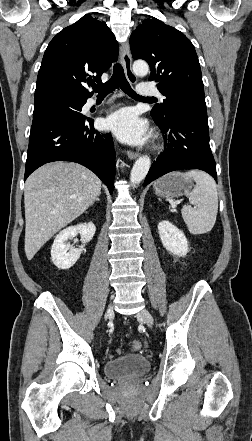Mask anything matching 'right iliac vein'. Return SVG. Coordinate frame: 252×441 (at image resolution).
<instances>
[{"label":"right iliac vein","mask_w":252,"mask_h":441,"mask_svg":"<svg viewBox=\"0 0 252 441\" xmlns=\"http://www.w3.org/2000/svg\"><path fill=\"white\" fill-rule=\"evenodd\" d=\"M113 314H114L113 307H112V305H110L107 309V312H106V318L113 316Z\"/></svg>","instance_id":"right-iliac-vein-1"}]
</instances>
